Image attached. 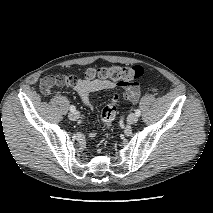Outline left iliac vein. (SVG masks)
Segmentation results:
<instances>
[{"mask_svg": "<svg viewBox=\"0 0 213 213\" xmlns=\"http://www.w3.org/2000/svg\"><path fill=\"white\" fill-rule=\"evenodd\" d=\"M138 121V117L135 114H129L127 117L128 124H135Z\"/></svg>", "mask_w": 213, "mask_h": 213, "instance_id": "obj_1", "label": "left iliac vein"}]
</instances>
